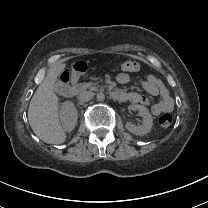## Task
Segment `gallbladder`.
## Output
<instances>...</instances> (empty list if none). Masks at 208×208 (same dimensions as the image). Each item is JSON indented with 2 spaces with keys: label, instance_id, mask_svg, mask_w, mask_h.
Listing matches in <instances>:
<instances>
[{
  "label": "gallbladder",
  "instance_id": "gallbladder-1",
  "mask_svg": "<svg viewBox=\"0 0 208 208\" xmlns=\"http://www.w3.org/2000/svg\"><path fill=\"white\" fill-rule=\"evenodd\" d=\"M54 92L61 97H68L70 95V88L63 83H57L54 87Z\"/></svg>",
  "mask_w": 208,
  "mask_h": 208
}]
</instances>
